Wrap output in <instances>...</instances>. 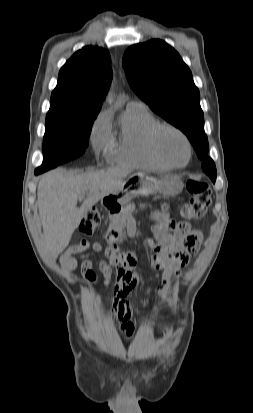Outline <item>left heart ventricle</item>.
Wrapping results in <instances>:
<instances>
[{
    "label": "left heart ventricle",
    "instance_id": "left-heart-ventricle-1",
    "mask_svg": "<svg viewBox=\"0 0 253 413\" xmlns=\"http://www.w3.org/2000/svg\"><path fill=\"white\" fill-rule=\"evenodd\" d=\"M159 148L162 154L172 163L183 164L187 159V148L183 139L170 130L159 134Z\"/></svg>",
    "mask_w": 253,
    "mask_h": 413
}]
</instances>
